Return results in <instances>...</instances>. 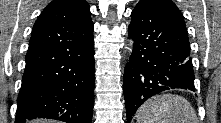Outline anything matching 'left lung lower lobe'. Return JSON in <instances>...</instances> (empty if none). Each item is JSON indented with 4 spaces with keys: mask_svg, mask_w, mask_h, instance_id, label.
<instances>
[{
    "mask_svg": "<svg viewBox=\"0 0 221 123\" xmlns=\"http://www.w3.org/2000/svg\"><path fill=\"white\" fill-rule=\"evenodd\" d=\"M128 33L134 39L123 79L129 123L140 105L153 95L175 88L194 91L195 87L185 25L139 1L131 13Z\"/></svg>",
    "mask_w": 221,
    "mask_h": 123,
    "instance_id": "obj_1",
    "label": "left lung lower lobe"
}]
</instances>
